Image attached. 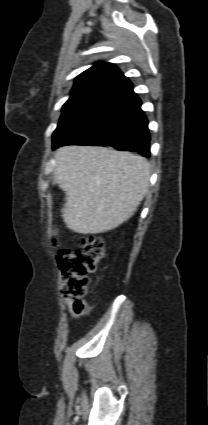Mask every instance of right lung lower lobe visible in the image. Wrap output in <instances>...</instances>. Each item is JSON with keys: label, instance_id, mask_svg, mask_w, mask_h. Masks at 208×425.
Returning <instances> with one entry per match:
<instances>
[{"label": "right lung lower lobe", "instance_id": "1", "mask_svg": "<svg viewBox=\"0 0 208 425\" xmlns=\"http://www.w3.org/2000/svg\"><path fill=\"white\" fill-rule=\"evenodd\" d=\"M53 138L54 149L67 144L112 146L150 156L148 121L124 75L70 114Z\"/></svg>", "mask_w": 208, "mask_h": 425}]
</instances>
